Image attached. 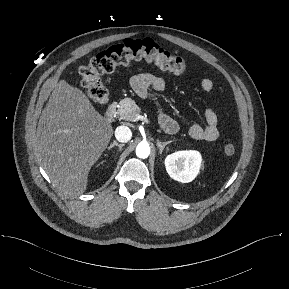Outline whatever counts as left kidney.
Segmentation results:
<instances>
[{"mask_svg":"<svg viewBox=\"0 0 289 289\" xmlns=\"http://www.w3.org/2000/svg\"><path fill=\"white\" fill-rule=\"evenodd\" d=\"M201 155L198 151H177L165 159V167L169 176L182 183L191 182L199 173Z\"/></svg>","mask_w":289,"mask_h":289,"instance_id":"5707ae66","label":"left kidney"}]
</instances>
